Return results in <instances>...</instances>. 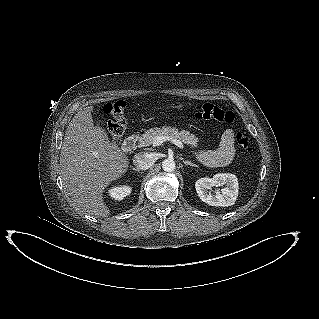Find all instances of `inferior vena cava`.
Listing matches in <instances>:
<instances>
[{"instance_id":"1","label":"inferior vena cava","mask_w":319,"mask_h":319,"mask_svg":"<svg viewBox=\"0 0 319 319\" xmlns=\"http://www.w3.org/2000/svg\"><path fill=\"white\" fill-rule=\"evenodd\" d=\"M133 163L137 169L146 170L155 163V158L150 153L140 152L134 155Z\"/></svg>"}]
</instances>
